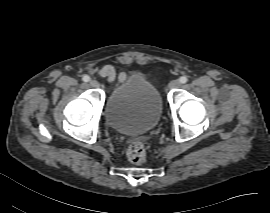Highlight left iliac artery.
Segmentation results:
<instances>
[{"mask_svg": "<svg viewBox=\"0 0 270 213\" xmlns=\"http://www.w3.org/2000/svg\"><path fill=\"white\" fill-rule=\"evenodd\" d=\"M179 81H180V83L184 84V83H186L188 81V78H187V76H181L179 78Z\"/></svg>", "mask_w": 270, "mask_h": 213, "instance_id": "1", "label": "left iliac artery"}]
</instances>
